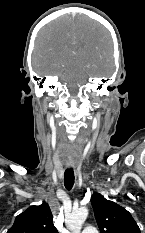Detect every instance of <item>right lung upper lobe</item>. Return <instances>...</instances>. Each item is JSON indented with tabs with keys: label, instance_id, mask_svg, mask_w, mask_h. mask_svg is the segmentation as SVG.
<instances>
[{
	"label": "right lung upper lobe",
	"instance_id": "1",
	"mask_svg": "<svg viewBox=\"0 0 145 233\" xmlns=\"http://www.w3.org/2000/svg\"><path fill=\"white\" fill-rule=\"evenodd\" d=\"M7 233H58V231L53 224L49 205L43 202L40 206H30L18 215Z\"/></svg>",
	"mask_w": 145,
	"mask_h": 233
}]
</instances>
